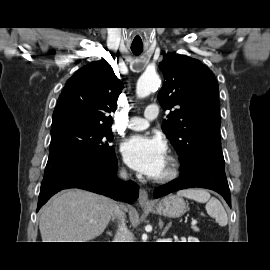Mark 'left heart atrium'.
<instances>
[{
	"instance_id": "left-heart-atrium-1",
	"label": "left heart atrium",
	"mask_w": 270,
	"mask_h": 270,
	"mask_svg": "<svg viewBox=\"0 0 270 270\" xmlns=\"http://www.w3.org/2000/svg\"><path fill=\"white\" fill-rule=\"evenodd\" d=\"M121 153L126 163L150 178H156L167 162V147L158 137L132 136L121 144Z\"/></svg>"
}]
</instances>
